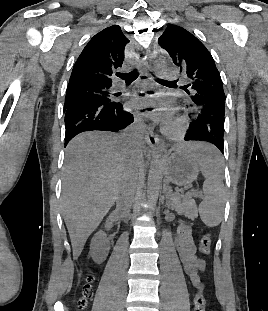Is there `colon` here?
Segmentation results:
<instances>
[{
	"instance_id": "5ec220e1",
	"label": "colon",
	"mask_w": 268,
	"mask_h": 311,
	"mask_svg": "<svg viewBox=\"0 0 268 311\" xmlns=\"http://www.w3.org/2000/svg\"><path fill=\"white\" fill-rule=\"evenodd\" d=\"M212 240L209 234H204L200 238L199 250L202 254H209L211 251ZM94 281V277L91 274H87L84 277V283L82 284V294L78 300L79 309H85L88 303V300L92 296V286L91 284ZM194 311H205L206 309V298L203 293V286L199 285L197 292L194 297Z\"/></svg>"
}]
</instances>
